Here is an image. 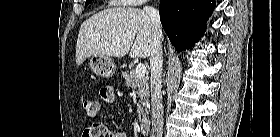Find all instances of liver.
<instances>
[{"label": "liver", "instance_id": "liver-1", "mask_svg": "<svg viewBox=\"0 0 280 137\" xmlns=\"http://www.w3.org/2000/svg\"><path fill=\"white\" fill-rule=\"evenodd\" d=\"M152 39L151 21L143 10L106 9L82 23L76 44V65L93 55L120 58L129 53L133 58H147Z\"/></svg>", "mask_w": 280, "mask_h": 137}]
</instances>
